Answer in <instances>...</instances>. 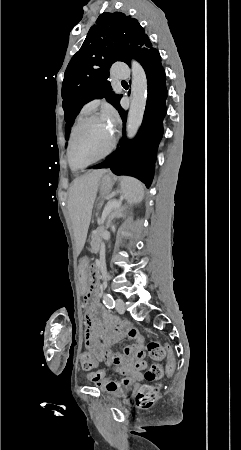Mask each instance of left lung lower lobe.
I'll return each mask as SVG.
<instances>
[{"instance_id":"obj_1","label":"left lung lower lobe","mask_w":241,"mask_h":450,"mask_svg":"<svg viewBox=\"0 0 241 450\" xmlns=\"http://www.w3.org/2000/svg\"><path fill=\"white\" fill-rule=\"evenodd\" d=\"M138 61L145 70L148 82L147 103L141 128L136 138L131 141L126 139L123 131L116 151L92 168H110L116 175L136 177L149 187L154 175L157 148L163 135L162 121L166 115L167 89L161 57L155 48L151 47ZM118 112L125 126L127 114L121 106Z\"/></svg>"}]
</instances>
